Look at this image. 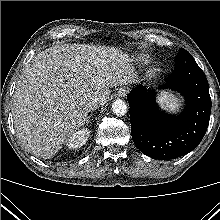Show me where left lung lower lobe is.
Listing matches in <instances>:
<instances>
[{
    "label": "left lung lower lobe",
    "instance_id": "left-lung-lower-lobe-1",
    "mask_svg": "<svg viewBox=\"0 0 220 220\" xmlns=\"http://www.w3.org/2000/svg\"><path fill=\"white\" fill-rule=\"evenodd\" d=\"M164 87L184 96L186 107L179 116L161 112L155 92L141 85L127 96L132 139L142 153L159 160L178 158L195 149L206 133L211 113L207 78L183 48Z\"/></svg>",
    "mask_w": 220,
    "mask_h": 220
}]
</instances>
